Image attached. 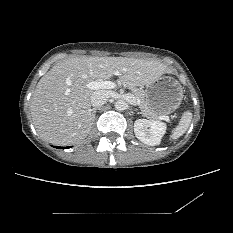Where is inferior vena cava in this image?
Wrapping results in <instances>:
<instances>
[{
    "mask_svg": "<svg viewBox=\"0 0 233 233\" xmlns=\"http://www.w3.org/2000/svg\"><path fill=\"white\" fill-rule=\"evenodd\" d=\"M109 97L110 92L108 90H97L91 96V105L99 108L106 103Z\"/></svg>",
    "mask_w": 233,
    "mask_h": 233,
    "instance_id": "1",
    "label": "inferior vena cava"
}]
</instances>
